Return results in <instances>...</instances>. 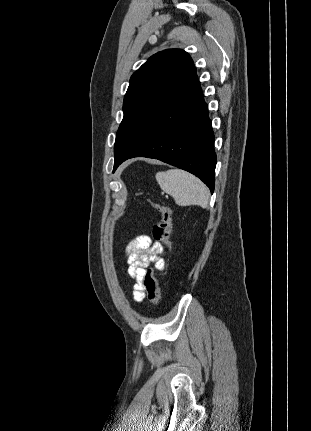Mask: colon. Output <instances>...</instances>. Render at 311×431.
<instances>
[{
    "label": "colon",
    "instance_id": "obj_1",
    "mask_svg": "<svg viewBox=\"0 0 311 431\" xmlns=\"http://www.w3.org/2000/svg\"><path fill=\"white\" fill-rule=\"evenodd\" d=\"M152 207L160 214L159 222L153 227L152 235L154 239L164 245L169 250V234L172 227L171 210L160 203L152 202ZM143 286L147 292L149 300L158 305L161 300V292L157 281L156 270L148 268L143 276Z\"/></svg>",
    "mask_w": 311,
    "mask_h": 431
}]
</instances>
